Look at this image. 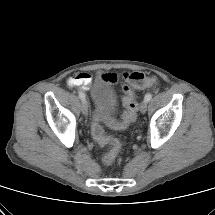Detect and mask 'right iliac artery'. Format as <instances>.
<instances>
[{"mask_svg":"<svg viewBox=\"0 0 215 215\" xmlns=\"http://www.w3.org/2000/svg\"><path fill=\"white\" fill-rule=\"evenodd\" d=\"M79 98L83 101L85 100V95L83 92H79Z\"/></svg>","mask_w":215,"mask_h":215,"instance_id":"82829eb1","label":"right iliac artery"}]
</instances>
